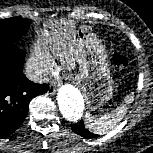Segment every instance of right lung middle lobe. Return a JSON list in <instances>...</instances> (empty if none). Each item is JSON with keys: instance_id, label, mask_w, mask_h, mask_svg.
Instances as JSON below:
<instances>
[{"instance_id": "right-lung-middle-lobe-1", "label": "right lung middle lobe", "mask_w": 153, "mask_h": 153, "mask_svg": "<svg viewBox=\"0 0 153 153\" xmlns=\"http://www.w3.org/2000/svg\"><path fill=\"white\" fill-rule=\"evenodd\" d=\"M31 20L24 18L0 19V44L14 45L29 29Z\"/></svg>"}]
</instances>
